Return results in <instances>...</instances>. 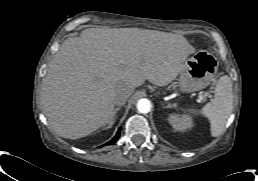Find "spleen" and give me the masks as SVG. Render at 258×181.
<instances>
[{
  "label": "spleen",
  "mask_w": 258,
  "mask_h": 181,
  "mask_svg": "<svg viewBox=\"0 0 258 181\" xmlns=\"http://www.w3.org/2000/svg\"><path fill=\"white\" fill-rule=\"evenodd\" d=\"M233 109V89L231 79L225 75L216 84L215 95L200 111L189 109L195 115L206 117L211 125V135L217 137L223 131Z\"/></svg>",
  "instance_id": "3e777b00"
}]
</instances>
